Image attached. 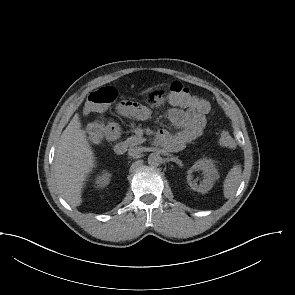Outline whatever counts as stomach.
I'll list each match as a JSON object with an SVG mask.
<instances>
[{"label": "stomach", "instance_id": "stomach-1", "mask_svg": "<svg viewBox=\"0 0 295 295\" xmlns=\"http://www.w3.org/2000/svg\"><path fill=\"white\" fill-rule=\"evenodd\" d=\"M147 102L152 107H159L164 102V95L159 90H152L147 95Z\"/></svg>", "mask_w": 295, "mask_h": 295}]
</instances>
